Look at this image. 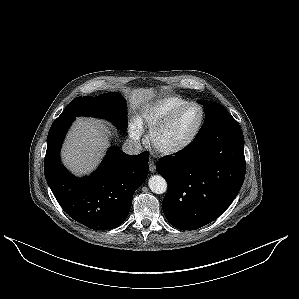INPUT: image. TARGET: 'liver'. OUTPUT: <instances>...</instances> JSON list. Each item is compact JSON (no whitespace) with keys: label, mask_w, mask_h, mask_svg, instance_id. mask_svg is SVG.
I'll return each mask as SVG.
<instances>
[{"label":"liver","mask_w":299,"mask_h":299,"mask_svg":"<svg viewBox=\"0 0 299 299\" xmlns=\"http://www.w3.org/2000/svg\"><path fill=\"white\" fill-rule=\"evenodd\" d=\"M154 96L152 89H135L131 92L130 102L137 106ZM104 124L96 120L78 118L62 149L64 165L75 175L88 174L98 165L108 142L104 137Z\"/></svg>","instance_id":"liver-1"}]
</instances>
